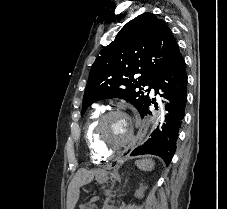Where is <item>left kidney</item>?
I'll list each match as a JSON object with an SVG mask.
<instances>
[{
	"label": "left kidney",
	"instance_id": "5707ae66",
	"mask_svg": "<svg viewBox=\"0 0 227 209\" xmlns=\"http://www.w3.org/2000/svg\"><path fill=\"white\" fill-rule=\"evenodd\" d=\"M145 189H147V187H143V185H141V187H139V189H137V191L135 193L136 199H143Z\"/></svg>",
	"mask_w": 227,
	"mask_h": 209
}]
</instances>
